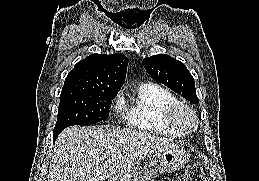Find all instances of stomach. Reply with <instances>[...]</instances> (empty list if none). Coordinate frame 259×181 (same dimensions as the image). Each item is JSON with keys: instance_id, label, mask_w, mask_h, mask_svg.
<instances>
[{"instance_id": "stomach-1", "label": "stomach", "mask_w": 259, "mask_h": 181, "mask_svg": "<svg viewBox=\"0 0 259 181\" xmlns=\"http://www.w3.org/2000/svg\"><path fill=\"white\" fill-rule=\"evenodd\" d=\"M188 160L185 150L175 144L155 152L154 159L147 166L136 165L130 171L113 177L110 181H154L162 173H172L179 169Z\"/></svg>"}]
</instances>
